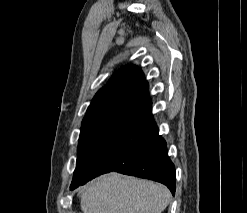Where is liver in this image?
I'll return each mask as SVG.
<instances>
[{
    "label": "liver",
    "mask_w": 247,
    "mask_h": 213,
    "mask_svg": "<svg viewBox=\"0 0 247 213\" xmlns=\"http://www.w3.org/2000/svg\"><path fill=\"white\" fill-rule=\"evenodd\" d=\"M170 196L161 184L109 173L84 188L80 206L83 213H161Z\"/></svg>",
    "instance_id": "liver-1"
}]
</instances>
